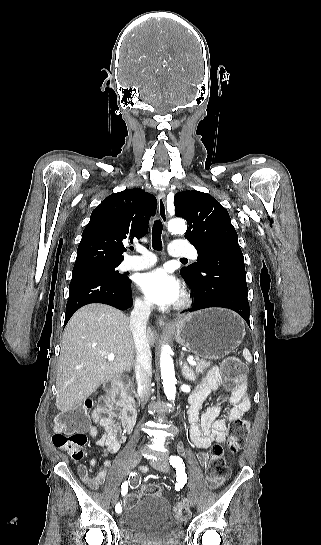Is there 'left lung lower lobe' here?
I'll return each mask as SVG.
<instances>
[{
    "mask_svg": "<svg viewBox=\"0 0 321 545\" xmlns=\"http://www.w3.org/2000/svg\"><path fill=\"white\" fill-rule=\"evenodd\" d=\"M193 288L194 304L188 311L209 307L229 308L249 322L248 289L244 258L240 247L209 251L199 263L198 272L183 277Z\"/></svg>",
    "mask_w": 321,
    "mask_h": 545,
    "instance_id": "1",
    "label": "left lung lower lobe"
}]
</instances>
